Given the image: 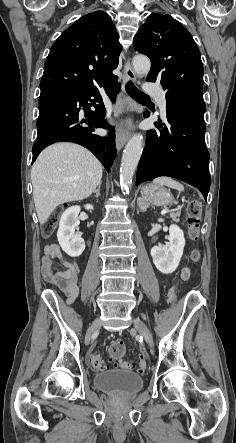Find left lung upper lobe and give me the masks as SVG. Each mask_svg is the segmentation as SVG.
<instances>
[{
	"label": "left lung upper lobe",
	"mask_w": 236,
	"mask_h": 443,
	"mask_svg": "<svg viewBox=\"0 0 236 443\" xmlns=\"http://www.w3.org/2000/svg\"><path fill=\"white\" fill-rule=\"evenodd\" d=\"M136 51L151 60L147 81L166 92L203 88L200 51L189 31L170 15L152 13L134 37Z\"/></svg>",
	"instance_id": "5c2ea615"
}]
</instances>
